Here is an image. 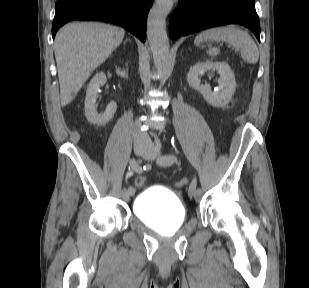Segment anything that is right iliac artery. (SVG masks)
<instances>
[{"mask_svg": "<svg viewBox=\"0 0 309 288\" xmlns=\"http://www.w3.org/2000/svg\"><path fill=\"white\" fill-rule=\"evenodd\" d=\"M141 168H142L143 170H151V167H150V165H148V164L142 165ZM127 190H128L129 193H131V194L134 193V191H135L132 185H127Z\"/></svg>", "mask_w": 309, "mask_h": 288, "instance_id": "82829eb1", "label": "right iliac artery"}]
</instances>
